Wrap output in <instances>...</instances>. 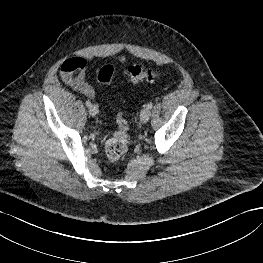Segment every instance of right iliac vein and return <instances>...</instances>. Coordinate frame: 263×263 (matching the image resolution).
I'll list each match as a JSON object with an SVG mask.
<instances>
[{"instance_id":"right-iliac-vein-1","label":"right iliac vein","mask_w":263,"mask_h":263,"mask_svg":"<svg viewBox=\"0 0 263 263\" xmlns=\"http://www.w3.org/2000/svg\"><path fill=\"white\" fill-rule=\"evenodd\" d=\"M98 106L97 105H92L90 108H89V114L91 116H96L98 114Z\"/></svg>"}]
</instances>
